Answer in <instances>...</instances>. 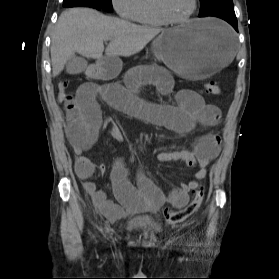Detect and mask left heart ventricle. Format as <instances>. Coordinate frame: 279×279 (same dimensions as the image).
Listing matches in <instances>:
<instances>
[{
  "instance_id": "left-heart-ventricle-1",
  "label": "left heart ventricle",
  "mask_w": 279,
  "mask_h": 279,
  "mask_svg": "<svg viewBox=\"0 0 279 279\" xmlns=\"http://www.w3.org/2000/svg\"><path fill=\"white\" fill-rule=\"evenodd\" d=\"M164 3L170 16L180 18L190 11L193 0H164Z\"/></svg>"
}]
</instances>
